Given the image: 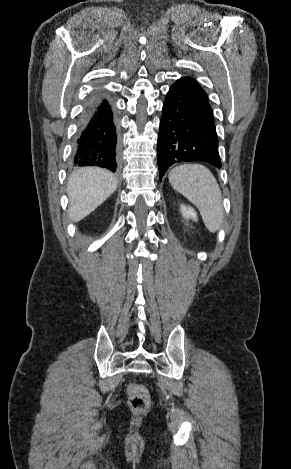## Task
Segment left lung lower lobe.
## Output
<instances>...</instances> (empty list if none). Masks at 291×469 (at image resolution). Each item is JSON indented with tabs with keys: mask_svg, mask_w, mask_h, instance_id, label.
Wrapping results in <instances>:
<instances>
[{
	"mask_svg": "<svg viewBox=\"0 0 291 469\" xmlns=\"http://www.w3.org/2000/svg\"><path fill=\"white\" fill-rule=\"evenodd\" d=\"M160 180L178 162L203 161L221 168L213 111L197 81L182 77L163 104L157 150Z\"/></svg>",
	"mask_w": 291,
	"mask_h": 469,
	"instance_id": "left-lung-lower-lobe-1",
	"label": "left lung lower lobe"
}]
</instances>
